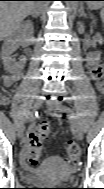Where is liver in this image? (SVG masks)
Wrapping results in <instances>:
<instances>
[{"label":"liver","instance_id":"1","mask_svg":"<svg viewBox=\"0 0 104 189\" xmlns=\"http://www.w3.org/2000/svg\"><path fill=\"white\" fill-rule=\"evenodd\" d=\"M34 1H1L0 36L7 37L18 30L22 20L34 9Z\"/></svg>","mask_w":104,"mask_h":189}]
</instances>
